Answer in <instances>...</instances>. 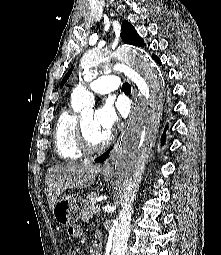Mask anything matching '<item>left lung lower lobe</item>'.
<instances>
[{
    "label": "left lung lower lobe",
    "mask_w": 221,
    "mask_h": 255,
    "mask_svg": "<svg viewBox=\"0 0 221 255\" xmlns=\"http://www.w3.org/2000/svg\"><path fill=\"white\" fill-rule=\"evenodd\" d=\"M153 57H154V59H155L160 65L162 64L161 61H160V59H159L157 56L153 55ZM162 140H163V141L165 140V139H164V136H163ZM109 152H110V151H107V152H105L103 155H101L100 157H98L97 159H95V162H103V161H105L106 158H107L108 155H109Z\"/></svg>",
    "instance_id": "left-lung-lower-lobe-1"
}]
</instances>
